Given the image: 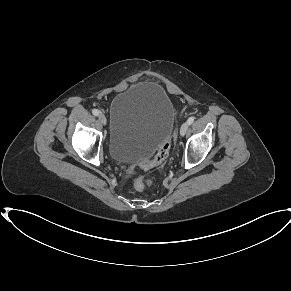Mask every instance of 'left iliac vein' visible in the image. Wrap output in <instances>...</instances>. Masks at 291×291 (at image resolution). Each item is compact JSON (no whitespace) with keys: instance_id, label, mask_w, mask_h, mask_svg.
I'll list each match as a JSON object with an SVG mask.
<instances>
[{"instance_id":"obj_1","label":"left iliac vein","mask_w":291,"mask_h":291,"mask_svg":"<svg viewBox=\"0 0 291 291\" xmlns=\"http://www.w3.org/2000/svg\"><path fill=\"white\" fill-rule=\"evenodd\" d=\"M188 127H189V124L188 122H184L182 125H181V128H180V135L181 136H184L188 130Z\"/></svg>"}]
</instances>
